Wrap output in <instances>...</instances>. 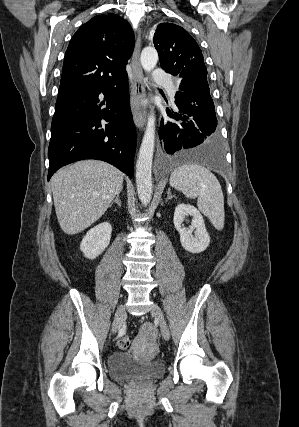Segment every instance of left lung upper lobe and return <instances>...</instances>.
Instances as JSON below:
<instances>
[{
    "mask_svg": "<svg viewBox=\"0 0 299 427\" xmlns=\"http://www.w3.org/2000/svg\"><path fill=\"white\" fill-rule=\"evenodd\" d=\"M153 42L162 69L180 78L179 91L192 93L213 105L202 51L193 37L178 25L161 23Z\"/></svg>",
    "mask_w": 299,
    "mask_h": 427,
    "instance_id": "1",
    "label": "left lung upper lobe"
}]
</instances>
